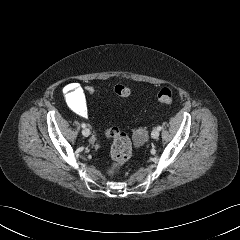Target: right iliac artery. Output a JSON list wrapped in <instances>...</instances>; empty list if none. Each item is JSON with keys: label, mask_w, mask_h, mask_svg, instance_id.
<instances>
[{"label": "right iliac artery", "mask_w": 240, "mask_h": 240, "mask_svg": "<svg viewBox=\"0 0 240 240\" xmlns=\"http://www.w3.org/2000/svg\"><path fill=\"white\" fill-rule=\"evenodd\" d=\"M81 126H82V128H85V127H86V124H85V123H82Z\"/></svg>", "instance_id": "right-iliac-artery-1"}]
</instances>
